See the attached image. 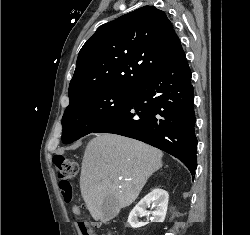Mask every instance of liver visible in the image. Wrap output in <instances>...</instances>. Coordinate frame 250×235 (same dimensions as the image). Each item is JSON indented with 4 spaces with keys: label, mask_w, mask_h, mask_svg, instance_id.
Returning <instances> with one entry per match:
<instances>
[{
    "label": "liver",
    "mask_w": 250,
    "mask_h": 235,
    "mask_svg": "<svg viewBox=\"0 0 250 235\" xmlns=\"http://www.w3.org/2000/svg\"><path fill=\"white\" fill-rule=\"evenodd\" d=\"M163 153L117 134H97L86 146L80 189L94 220H102V204L114 196L120 208L131 205L148 178L162 167Z\"/></svg>",
    "instance_id": "1"
}]
</instances>
